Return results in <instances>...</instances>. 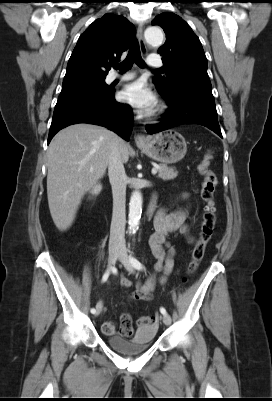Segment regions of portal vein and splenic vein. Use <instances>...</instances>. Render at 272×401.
I'll use <instances>...</instances> for the list:
<instances>
[{"mask_svg": "<svg viewBox=\"0 0 272 401\" xmlns=\"http://www.w3.org/2000/svg\"><path fill=\"white\" fill-rule=\"evenodd\" d=\"M157 173V168L152 169V174L155 175Z\"/></svg>", "mask_w": 272, "mask_h": 401, "instance_id": "18ae733b", "label": "portal vein and splenic vein"}]
</instances>
